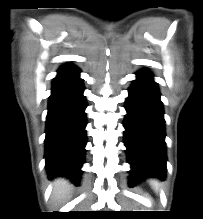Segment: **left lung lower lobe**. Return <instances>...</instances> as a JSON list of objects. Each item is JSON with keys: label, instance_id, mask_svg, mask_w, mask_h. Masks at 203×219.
<instances>
[{"label": "left lung lower lobe", "instance_id": "left-lung-lower-lobe-1", "mask_svg": "<svg viewBox=\"0 0 203 219\" xmlns=\"http://www.w3.org/2000/svg\"><path fill=\"white\" fill-rule=\"evenodd\" d=\"M136 75L128 89L123 123L131 185L148 177L164 179L167 160L164 109L158 85L147 70Z\"/></svg>", "mask_w": 203, "mask_h": 219}]
</instances>
